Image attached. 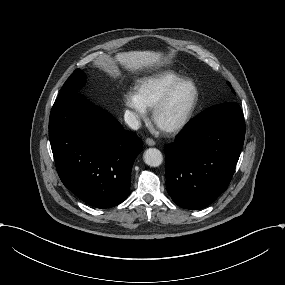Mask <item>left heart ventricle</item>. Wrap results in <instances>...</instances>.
Segmentation results:
<instances>
[{
    "label": "left heart ventricle",
    "instance_id": "obj_1",
    "mask_svg": "<svg viewBox=\"0 0 285 285\" xmlns=\"http://www.w3.org/2000/svg\"><path fill=\"white\" fill-rule=\"evenodd\" d=\"M195 97V88L192 84H185L174 94L169 105L160 113L158 125L169 127L178 122L188 111Z\"/></svg>",
    "mask_w": 285,
    "mask_h": 285
}]
</instances>
